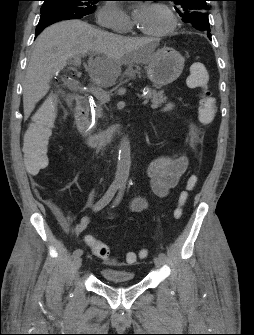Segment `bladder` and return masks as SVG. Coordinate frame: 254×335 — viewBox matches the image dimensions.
Segmentation results:
<instances>
[{"mask_svg": "<svg viewBox=\"0 0 254 335\" xmlns=\"http://www.w3.org/2000/svg\"><path fill=\"white\" fill-rule=\"evenodd\" d=\"M101 275L106 282L111 284H125L135 281V274L132 271L120 268H103Z\"/></svg>", "mask_w": 254, "mask_h": 335, "instance_id": "obj_1", "label": "bladder"}]
</instances>
